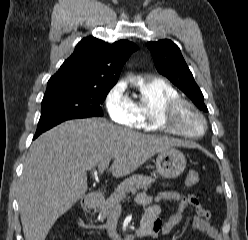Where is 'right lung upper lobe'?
I'll list each match as a JSON object with an SVG mask.
<instances>
[{"label": "right lung upper lobe", "mask_w": 248, "mask_h": 240, "mask_svg": "<svg viewBox=\"0 0 248 240\" xmlns=\"http://www.w3.org/2000/svg\"><path fill=\"white\" fill-rule=\"evenodd\" d=\"M137 46L127 40L108 44L92 36L82 39L74 53L47 84V90L60 88L111 89L121 68Z\"/></svg>", "instance_id": "1"}]
</instances>
